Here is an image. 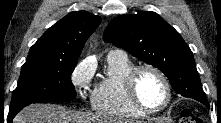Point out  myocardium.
<instances>
[{"mask_svg":"<svg viewBox=\"0 0 221 123\" xmlns=\"http://www.w3.org/2000/svg\"><path fill=\"white\" fill-rule=\"evenodd\" d=\"M144 71L154 72L156 75L159 76V78L162 80L165 86L166 98L163 104L160 105L159 107H156V108L147 107L145 104H143V102L140 100L138 96L137 81H138L140 74ZM125 86H126V92H127L128 98L131 101V103L138 110L142 111L145 114L158 113L164 110L169 105L171 98H172V88H171V84H170L168 77L161 69H159L158 67L154 65L146 64V65H140V66L135 67L127 76Z\"/></svg>","mask_w":221,"mask_h":123,"instance_id":"1","label":"myocardium"}]
</instances>
